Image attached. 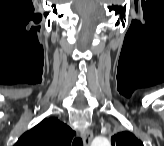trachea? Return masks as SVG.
Wrapping results in <instances>:
<instances>
[{
    "mask_svg": "<svg viewBox=\"0 0 164 146\" xmlns=\"http://www.w3.org/2000/svg\"><path fill=\"white\" fill-rule=\"evenodd\" d=\"M72 146H83L81 138H75Z\"/></svg>",
    "mask_w": 164,
    "mask_h": 146,
    "instance_id": "obj_1",
    "label": "trachea"
}]
</instances>
